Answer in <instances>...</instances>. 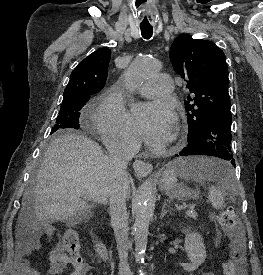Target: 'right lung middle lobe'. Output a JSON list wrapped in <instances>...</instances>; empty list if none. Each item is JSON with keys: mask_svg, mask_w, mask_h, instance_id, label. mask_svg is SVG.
<instances>
[{"mask_svg": "<svg viewBox=\"0 0 263 275\" xmlns=\"http://www.w3.org/2000/svg\"><path fill=\"white\" fill-rule=\"evenodd\" d=\"M88 94H77L63 98L61 109L51 133L60 132L63 129H78L80 110L89 100Z\"/></svg>", "mask_w": 263, "mask_h": 275, "instance_id": "right-lung-middle-lobe-1", "label": "right lung middle lobe"}]
</instances>
